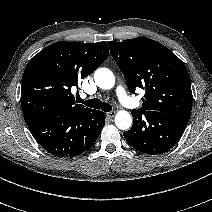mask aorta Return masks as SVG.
I'll return each instance as SVG.
<instances>
[{"label":"aorta","mask_w":212,"mask_h":212,"mask_svg":"<svg viewBox=\"0 0 212 212\" xmlns=\"http://www.w3.org/2000/svg\"><path fill=\"white\" fill-rule=\"evenodd\" d=\"M96 85L104 90H108L115 85V76L107 68H98L94 73ZM115 125L120 130H128L132 125V116L126 110H120L115 116Z\"/></svg>","instance_id":"aorta-1"}]
</instances>
